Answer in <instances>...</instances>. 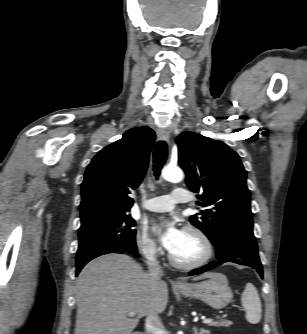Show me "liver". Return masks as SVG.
Instances as JSON below:
<instances>
[{
    "label": "liver",
    "mask_w": 307,
    "mask_h": 334,
    "mask_svg": "<svg viewBox=\"0 0 307 334\" xmlns=\"http://www.w3.org/2000/svg\"><path fill=\"white\" fill-rule=\"evenodd\" d=\"M76 301L75 334H132L142 317L165 310L168 287L130 256L112 253L85 265L76 280Z\"/></svg>",
    "instance_id": "6515ba94"
}]
</instances>
